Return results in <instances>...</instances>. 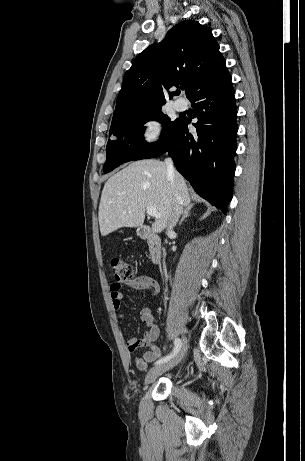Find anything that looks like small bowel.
<instances>
[{
  "instance_id": "1",
  "label": "small bowel",
  "mask_w": 305,
  "mask_h": 461,
  "mask_svg": "<svg viewBox=\"0 0 305 461\" xmlns=\"http://www.w3.org/2000/svg\"><path fill=\"white\" fill-rule=\"evenodd\" d=\"M122 287L133 290L145 291L149 296H154L159 291L158 282L150 276H139L128 281H115L110 285V298L117 317L120 321L124 320V315L120 313L123 294ZM140 319L146 326L144 337L137 339L128 337L126 347L130 353L136 352L139 348L148 347L149 350L144 352L141 357H136L134 363L140 370H146L148 365L161 356V350L157 345L160 329L155 314L149 307H143L140 310Z\"/></svg>"
}]
</instances>
